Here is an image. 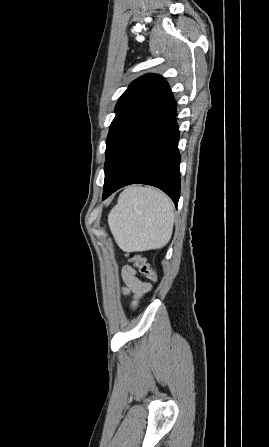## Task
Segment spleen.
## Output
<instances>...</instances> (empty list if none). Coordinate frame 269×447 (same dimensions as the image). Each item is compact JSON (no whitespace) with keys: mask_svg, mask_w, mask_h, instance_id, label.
<instances>
[{"mask_svg":"<svg viewBox=\"0 0 269 447\" xmlns=\"http://www.w3.org/2000/svg\"><path fill=\"white\" fill-rule=\"evenodd\" d=\"M174 206L155 188L127 186L108 216L113 237L123 251L164 247L171 239Z\"/></svg>","mask_w":269,"mask_h":447,"instance_id":"1","label":"spleen"}]
</instances>
